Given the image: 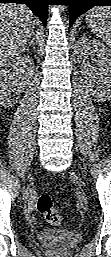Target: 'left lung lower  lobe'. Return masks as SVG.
Returning <instances> with one entry per match:
<instances>
[{"instance_id": "obj_1", "label": "left lung lower lobe", "mask_w": 111, "mask_h": 257, "mask_svg": "<svg viewBox=\"0 0 111 257\" xmlns=\"http://www.w3.org/2000/svg\"><path fill=\"white\" fill-rule=\"evenodd\" d=\"M70 26L76 18L94 6H111V0H70Z\"/></svg>"}]
</instances>
